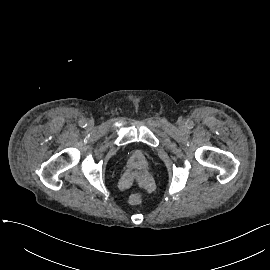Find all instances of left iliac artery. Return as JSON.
Wrapping results in <instances>:
<instances>
[{"mask_svg": "<svg viewBox=\"0 0 270 270\" xmlns=\"http://www.w3.org/2000/svg\"><path fill=\"white\" fill-rule=\"evenodd\" d=\"M192 125H193V124H192L191 122L188 124L189 127H192Z\"/></svg>", "mask_w": 270, "mask_h": 270, "instance_id": "44dca946", "label": "left iliac artery"}]
</instances>
